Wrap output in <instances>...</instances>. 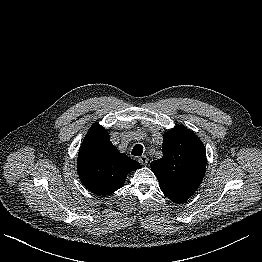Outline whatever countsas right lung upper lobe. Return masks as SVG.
Returning <instances> with one entry per match:
<instances>
[{
  "mask_svg": "<svg viewBox=\"0 0 262 262\" xmlns=\"http://www.w3.org/2000/svg\"><path fill=\"white\" fill-rule=\"evenodd\" d=\"M140 164L117 151L108 132L93 124L78 153L77 169L85 187L96 195H109L124 184L126 176Z\"/></svg>",
  "mask_w": 262,
  "mask_h": 262,
  "instance_id": "obj_1",
  "label": "right lung upper lobe"
}]
</instances>
